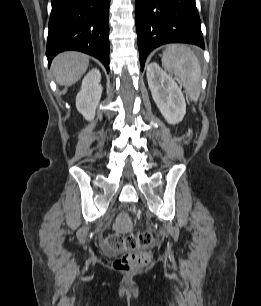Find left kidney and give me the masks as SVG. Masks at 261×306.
Segmentation results:
<instances>
[{
	"label": "left kidney",
	"mask_w": 261,
	"mask_h": 306,
	"mask_svg": "<svg viewBox=\"0 0 261 306\" xmlns=\"http://www.w3.org/2000/svg\"><path fill=\"white\" fill-rule=\"evenodd\" d=\"M147 81L152 97L169 124L181 122L186 114V103L177 83L157 63L147 66Z\"/></svg>",
	"instance_id": "1"
}]
</instances>
